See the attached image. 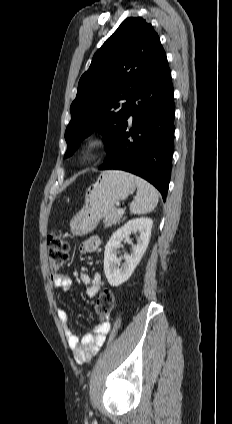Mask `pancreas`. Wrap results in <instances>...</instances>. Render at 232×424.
<instances>
[{"mask_svg": "<svg viewBox=\"0 0 232 424\" xmlns=\"http://www.w3.org/2000/svg\"><path fill=\"white\" fill-rule=\"evenodd\" d=\"M121 218H122V215L118 214V209L114 208L104 216L103 223L105 227H110L113 224L120 222Z\"/></svg>", "mask_w": 232, "mask_h": 424, "instance_id": "1", "label": "pancreas"}]
</instances>
